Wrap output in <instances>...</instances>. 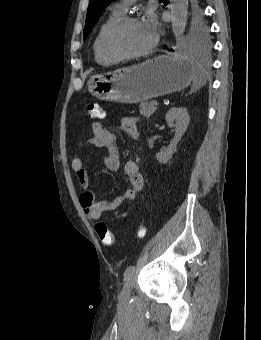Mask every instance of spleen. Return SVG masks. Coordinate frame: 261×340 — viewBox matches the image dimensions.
<instances>
[{"instance_id": "3e777b00", "label": "spleen", "mask_w": 261, "mask_h": 340, "mask_svg": "<svg viewBox=\"0 0 261 340\" xmlns=\"http://www.w3.org/2000/svg\"><path fill=\"white\" fill-rule=\"evenodd\" d=\"M204 83H205V79H204L203 71L199 66H196L192 89L196 91L199 88H201L204 85Z\"/></svg>"}]
</instances>
